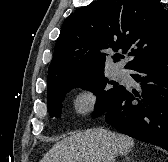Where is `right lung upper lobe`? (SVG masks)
Segmentation results:
<instances>
[{
	"mask_svg": "<svg viewBox=\"0 0 168 162\" xmlns=\"http://www.w3.org/2000/svg\"><path fill=\"white\" fill-rule=\"evenodd\" d=\"M110 50L130 51L128 69L168 52V11L160 0H99L69 15L55 45L48 86L104 71Z\"/></svg>",
	"mask_w": 168,
	"mask_h": 162,
	"instance_id": "right-lung-upper-lobe-1",
	"label": "right lung upper lobe"
}]
</instances>
